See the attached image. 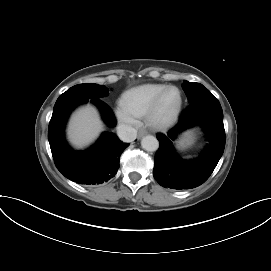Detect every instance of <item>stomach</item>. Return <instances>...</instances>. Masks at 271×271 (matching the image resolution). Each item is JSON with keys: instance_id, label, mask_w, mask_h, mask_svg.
<instances>
[{"instance_id": "1", "label": "stomach", "mask_w": 271, "mask_h": 271, "mask_svg": "<svg viewBox=\"0 0 271 271\" xmlns=\"http://www.w3.org/2000/svg\"><path fill=\"white\" fill-rule=\"evenodd\" d=\"M195 142V134L193 131L185 132L176 142L178 149H186Z\"/></svg>"}]
</instances>
